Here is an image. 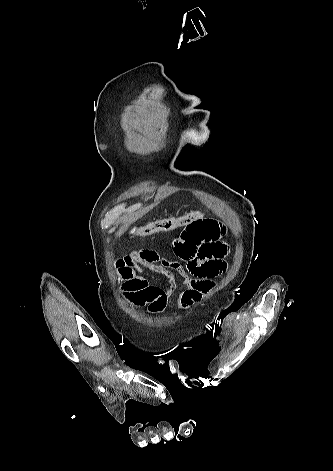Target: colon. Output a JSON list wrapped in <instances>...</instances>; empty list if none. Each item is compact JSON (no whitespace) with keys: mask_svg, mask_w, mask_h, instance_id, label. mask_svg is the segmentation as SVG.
<instances>
[{"mask_svg":"<svg viewBox=\"0 0 333 471\" xmlns=\"http://www.w3.org/2000/svg\"><path fill=\"white\" fill-rule=\"evenodd\" d=\"M202 216L203 214L201 211H191L182 216H170L137 227L133 230V234L145 237L159 232L172 231L178 228L186 227Z\"/></svg>","mask_w":333,"mask_h":471,"instance_id":"obj_1","label":"colon"}]
</instances>
